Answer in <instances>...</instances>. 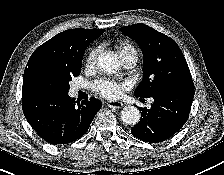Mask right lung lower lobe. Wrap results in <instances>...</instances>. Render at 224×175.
I'll use <instances>...</instances> for the list:
<instances>
[{
  "label": "right lung lower lobe",
  "mask_w": 224,
  "mask_h": 175,
  "mask_svg": "<svg viewBox=\"0 0 224 175\" xmlns=\"http://www.w3.org/2000/svg\"><path fill=\"white\" fill-rule=\"evenodd\" d=\"M101 107V101L95 98L76 104L68 92L22 93V109L27 121L41 138L54 145L82 137Z\"/></svg>",
  "instance_id": "98d812e1"
}]
</instances>
